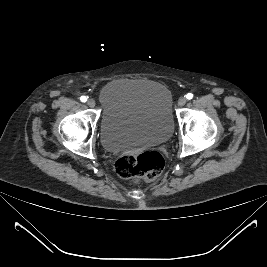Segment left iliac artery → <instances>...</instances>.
I'll use <instances>...</instances> for the list:
<instances>
[{"label":"left iliac artery","mask_w":267,"mask_h":267,"mask_svg":"<svg viewBox=\"0 0 267 267\" xmlns=\"http://www.w3.org/2000/svg\"><path fill=\"white\" fill-rule=\"evenodd\" d=\"M186 98L189 99V100L192 99V98H193V94H192V93H188V94L186 95Z\"/></svg>","instance_id":"1"}]
</instances>
